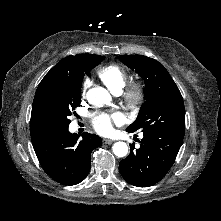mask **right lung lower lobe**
Here are the masks:
<instances>
[{"label":"right lung lower lobe","mask_w":221,"mask_h":221,"mask_svg":"<svg viewBox=\"0 0 221 221\" xmlns=\"http://www.w3.org/2000/svg\"><path fill=\"white\" fill-rule=\"evenodd\" d=\"M78 138L66 129L32 141L44 171L61 184L75 185L84 180L90 171L91 152L102 145L94 134L85 132L81 140Z\"/></svg>","instance_id":"98d812e1"}]
</instances>
